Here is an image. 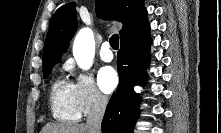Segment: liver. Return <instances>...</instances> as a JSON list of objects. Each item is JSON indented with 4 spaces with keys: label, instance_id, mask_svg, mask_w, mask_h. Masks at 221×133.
Here are the masks:
<instances>
[{
    "label": "liver",
    "instance_id": "1",
    "mask_svg": "<svg viewBox=\"0 0 221 133\" xmlns=\"http://www.w3.org/2000/svg\"><path fill=\"white\" fill-rule=\"evenodd\" d=\"M41 133H89L85 124L47 123Z\"/></svg>",
    "mask_w": 221,
    "mask_h": 133
}]
</instances>
